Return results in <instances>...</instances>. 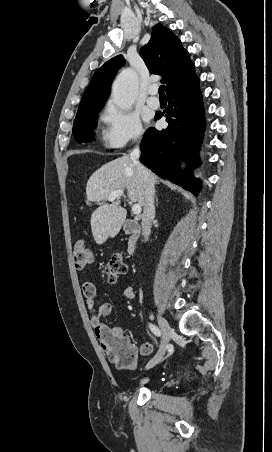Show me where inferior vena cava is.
<instances>
[{"label":"inferior vena cava","mask_w":272,"mask_h":452,"mask_svg":"<svg viewBox=\"0 0 272 452\" xmlns=\"http://www.w3.org/2000/svg\"><path fill=\"white\" fill-rule=\"evenodd\" d=\"M130 159L142 182L143 215H142V235L147 241L151 233V224L155 217L154 183L148 170L140 163V148L136 146L130 153Z\"/></svg>","instance_id":"obj_1"}]
</instances>
